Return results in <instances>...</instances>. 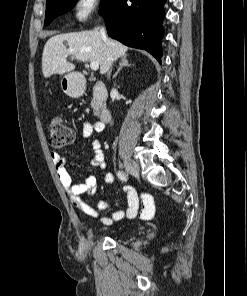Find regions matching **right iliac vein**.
<instances>
[{"label":"right iliac vein","instance_id":"63e3f726","mask_svg":"<svg viewBox=\"0 0 247 296\" xmlns=\"http://www.w3.org/2000/svg\"><path fill=\"white\" fill-rule=\"evenodd\" d=\"M123 164L128 173L133 176L139 175V165L135 161L126 158L124 159Z\"/></svg>","mask_w":247,"mask_h":296}]
</instances>
